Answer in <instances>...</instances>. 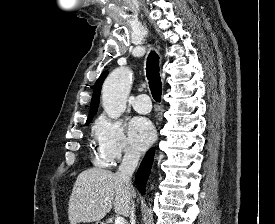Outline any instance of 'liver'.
<instances>
[{
  "label": "liver",
  "mask_w": 275,
  "mask_h": 224,
  "mask_svg": "<svg viewBox=\"0 0 275 224\" xmlns=\"http://www.w3.org/2000/svg\"><path fill=\"white\" fill-rule=\"evenodd\" d=\"M135 196V190L117 173L100 168L87 169L78 175L70 195V224L100 221L112 207L118 215L128 217Z\"/></svg>",
  "instance_id": "1"
}]
</instances>
